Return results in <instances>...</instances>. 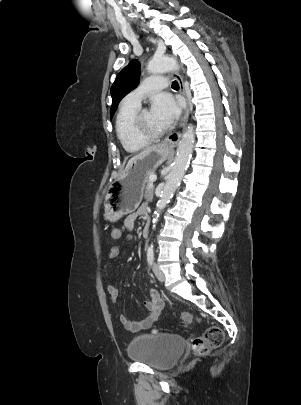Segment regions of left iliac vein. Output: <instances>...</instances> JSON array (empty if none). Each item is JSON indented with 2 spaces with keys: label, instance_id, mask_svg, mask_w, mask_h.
Segmentation results:
<instances>
[{
  "label": "left iliac vein",
  "instance_id": "1",
  "mask_svg": "<svg viewBox=\"0 0 301 405\" xmlns=\"http://www.w3.org/2000/svg\"><path fill=\"white\" fill-rule=\"evenodd\" d=\"M153 272L160 282L165 281V275L156 263L153 264Z\"/></svg>",
  "mask_w": 301,
  "mask_h": 405
}]
</instances>
